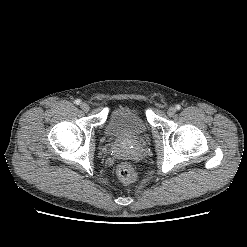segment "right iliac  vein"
Masks as SVG:
<instances>
[{
    "label": "right iliac vein",
    "instance_id": "63e3f726",
    "mask_svg": "<svg viewBox=\"0 0 247 247\" xmlns=\"http://www.w3.org/2000/svg\"><path fill=\"white\" fill-rule=\"evenodd\" d=\"M80 108H81L83 111H85V112H88L89 109H90L89 105H88L87 103H85V102H83V103L80 104Z\"/></svg>",
    "mask_w": 247,
    "mask_h": 247
}]
</instances>
